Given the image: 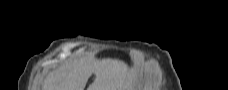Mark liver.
<instances>
[{
	"mask_svg": "<svg viewBox=\"0 0 228 90\" xmlns=\"http://www.w3.org/2000/svg\"><path fill=\"white\" fill-rule=\"evenodd\" d=\"M95 74L94 82L88 90H122L126 88L128 73L126 64L113 59H77L66 63L50 73L43 90H84L88 78Z\"/></svg>",
	"mask_w": 228,
	"mask_h": 90,
	"instance_id": "liver-1",
	"label": "liver"
}]
</instances>
